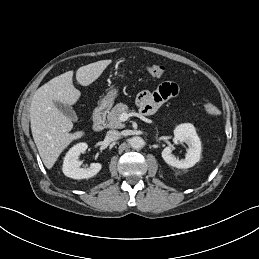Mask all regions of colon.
I'll use <instances>...</instances> for the list:
<instances>
[{"instance_id":"1","label":"colon","mask_w":259,"mask_h":259,"mask_svg":"<svg viewBox=\"0 0 259 259\" xmlns=\"http://www.w3.org/2000/svg\"><path fill=\"white\" fill-rule=\"evenodd\" d=\"M146 71L150 76H153V77H161L165 74L164 66L159 64L149 65L146 68ZM203 109L205 110L206 113L213 116H217L220 114L219 108L216 105L207 101L203 103Z\"/></svg>"}]
</instances>
